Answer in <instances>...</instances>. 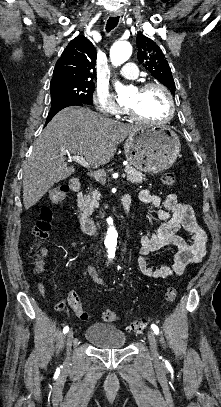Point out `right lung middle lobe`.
<instances>
[{"instance_id": "dd1d6c3e", "label": "right lung middle lobe", "mask_w": 221, "mask_h": 407, "mask_svg": "<svg viewBox=\"0 0 221 407\" xmlns=\"http://www.w3.org/2000/svg\"><path fill=\"white\" fill-rule=\"evenodd\" d=\"M93 91V82H80L50 89L51 105L63 101H77L90 105L92 104Z\"/></svg>"}]
</instances>
